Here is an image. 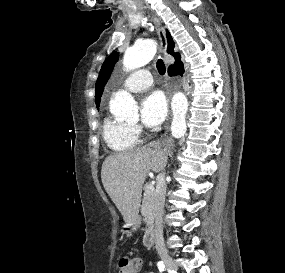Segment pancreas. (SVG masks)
I'll return each mask as SVG.
<instances>
[{"instance_id":"1","label":"pancreas","mask_w":285,"mask_h":273,"mask_svg":"<svg viewBox=\"0 0 285 273\" xmlns=\"http://www.w3.org/2000/svg\"><path fill=\"white\" fill-rule=\"evenodd\" d=\"M154 197V188L150 189L147 187L143 194V201L141 206V213L144 216L147 225H149L154 215Z\"/></svg>"}]
</instances>
